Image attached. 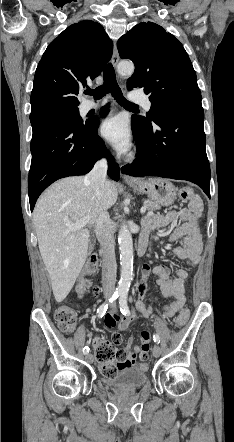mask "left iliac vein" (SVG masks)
I'll list each match as a JSON object with an SVG mask.
<instances>
[{"mask_svg":"<svg viewBox=\"0 0 234 442\" xmlns=\"http://www.w3.org/2000/svg\"><path fill=\"white\" fill-rule=\"evenodd\" d=\"M153 356L154 357H159L161 354V348L159 345L155 344L152 350Z\"/></svg>","mask_w":234,"mask_h":442,"instance_id":"4c4485c4","label":"left iliac vein"}]
</instances>
